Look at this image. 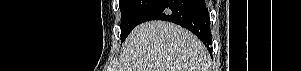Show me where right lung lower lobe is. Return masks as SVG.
Returning a JSON list of instances; mask_svg holds the SVG:
<instances>
[{
  "mask_svg": "<svg viewBox=\"0 0 301 71\" xmlns=\"http://www.w3.org/2000/svg\"><path fill=\"white\" fill-rule=\"evenodd\" d=\"M150 20H165L190 30L212 54L210 20L204 0H156L144 13L140 23Z\"/></svg>",
  "mask_w": 301,
  "mask_h": 71,
  "instance_id": "1",
  "label": "right lung lower lobe"
}]
</instances>
